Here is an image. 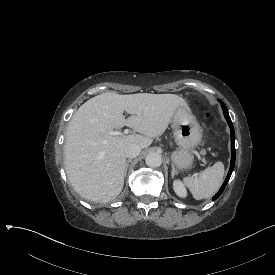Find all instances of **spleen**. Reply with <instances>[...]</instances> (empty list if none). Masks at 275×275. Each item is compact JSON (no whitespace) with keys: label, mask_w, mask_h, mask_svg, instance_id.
<instances>
[{"label":"spleen","mask_w":275,"mask_h":275,"mask_svg":"<svg viewBox=\"0 0 275 275\" xmlns=\"http://www.w3.org/2000/svg\"><path fill=\"white\" fill-rule=\"evenodd\" d=\"M225 167L221 162L208 167L200 177H186L185 182L196 200L214 196L223 184Z\"/></svg>","instance_id":"1"}]
</instances>
